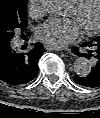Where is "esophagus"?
I'll list each match as a JSON object with an SVG mask.
<instances>
[{
    "label": "esophagus",
    "instance_id": "esophagus-1",
    "mask_svg": "<svg viewBox=\"0 0 100 118\" xmlns=\"http://www.w3.org/2000/svg\"><path fill=\"white\" fill-rule=\"evenodd\" d=\"M44 48H45L47 51H54V50L59 51V49L53 48V47H51V46H49V45H44ZM66 51L70 52L69 50H66Z\"/></svg>",
    "mask_w": 100,
    "mask_h": 118
}]
</instances>
